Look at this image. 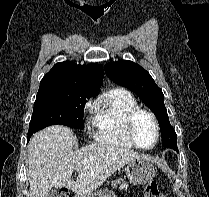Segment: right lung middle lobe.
I'll return each mask as SVG.
<instances>
[{
	"label": "right lung middle lobe",
	"mask_w": 209,
	"mask_h": 197,
	"mask_svg": "<svg viewBox=\"0 0 209 197\" xmlns=\"http://www.w3.org/2000/svg\"><path fill=\"white\" fill-rule=\"evenodd\" d=\"M93 94L95 92L77 85L40 84L28 133L55 124L83 129L84 106Z\"/></svg>",
	"instance_id": "right-lung-middle-lobe-1"
}]
</instances>
